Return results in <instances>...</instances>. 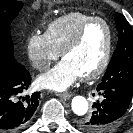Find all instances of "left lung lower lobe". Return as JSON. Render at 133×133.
Listing matches in <instances>:
<instances>
[{
    "mask_svg": "<svg viewBox=\"0 0 133 133\" xmlns=\"http://www.w3.org/2000/svg\"><path fill=\"white\" fill-rule=\"evenodd\" d=\"M99 95L104 97L103 101L94 103V111L89 116L88 123L92 129L89 133L102 132L112 126L126 112L132 94L119 89H102Z\"/></svg>",
    "mask_w": 133,
    "mask_h": 133,
    "instance_id": "obj_1",
    "label": "left lung lower lobe"
}]
</instances>
